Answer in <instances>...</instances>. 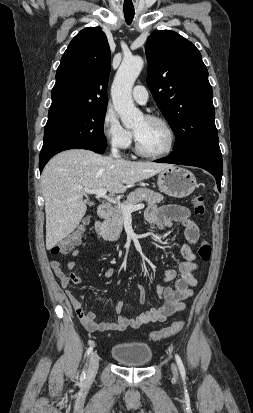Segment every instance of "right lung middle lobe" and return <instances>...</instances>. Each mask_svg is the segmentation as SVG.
Instances as JSON below:
<instances>
[{"label": "right lung middle lobe", "mask_w": 253, "mask_h": 413, "mask_svg": "<svg viewBox=\"0 0 253 413\" xmlns=\"http://www.w3.org/2000/svg\"><path fill=\"white\" fill-rule=\"evenodd\" d=\"M106 108L68 110L48 115L42 150L68 142H106L103 133Z\"/></svg>", "instance_id": "right-lung-middle-lobe-1"}]
</instances>
